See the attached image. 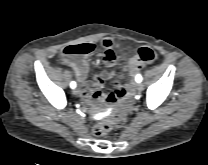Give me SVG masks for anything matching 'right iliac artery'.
Masks as SVG:
<instances>
[{
	"label": "right iliac artery",
	"instance_id": "82829eb1",
	"mask_svg": "<svg viewBox=\"0 0 208 165\" xmlns=\"http://www.w3.org/2000/svg\"><path fill=\"white\" fill-rule=\"evenodd\" d=\"M70 87H71V88H75V87H76V83H75L74 81L71 82Z\"/></svg>",
	"mask_w": 208,
	"mask_h": 165
}]
</instances>
